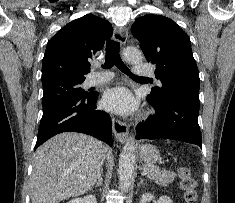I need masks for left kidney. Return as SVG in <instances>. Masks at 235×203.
<instances>
[{
	"instance_id": "obj_1",
	"label": "left kidney",
	"mask_w": 235,
	"mask_h": 203,
	"mask_svg": "<svg viewBox=\"0 0 235 203\" xmlns=\"http://www.w3.org/2000/svg\"><path fill=\"white\" fill-rule=\"evenodd\" d=\"M154 199L151 193H145L140 198V203H149ZM155 203H173L168 196H161Z\"/></svg>"
}]
</instances>
